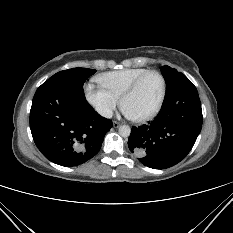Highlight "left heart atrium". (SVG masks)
I'll return each instance as SVG.
<instances>
[{
  "instance_id": "1",
  "label": "left heart atrium",
  "mask_w": 233,
  "mask_h": 233,
  "mask_svg": "<svg viewBox=\"0 0 233 233\" xmlns=\"http://www.w3.org/2000/svg\"><path fill=\"white\" fill-rule=\"evenodd\" d=\"M123 113L128 117L131 116L130 113L128 112V110L126 108H124V107H123Z\"/></svg>"
}]
</instances>
